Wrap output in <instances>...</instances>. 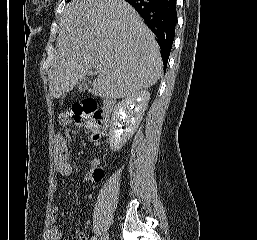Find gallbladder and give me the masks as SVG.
<instances>
[{
    "label": "gallbladder",
    "instance_id": "gallbladder-1",
    "mask_svg": "<svg viewBox=\"0 0 257 240\" xmlns=\"http://www.w3.org/2000/svg\"><path fill=\"white\" fill-rule=\"evenodd\" d=\"M91 81L88 78L82 79L78 84V91L84 92L87 90L88 86L90 85Z\"/></svg>",
    "mask_w": 257,
    "mask_h": 240
}]
</instances>
